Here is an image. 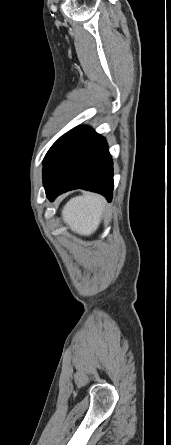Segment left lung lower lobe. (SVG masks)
<instances>
[{
  "mask_svg": "<svg viewBox=\"0 0 171 445\" xmlns=\"http://www.w3.org/2000/svg\"><path fill=\"white\" fill-rule=\"evenodd\" d=\"M112 165L105 139L90 128L76 127L61 137L44 160L46 195L52 201L61 193L82 188L111 201Z\"/></svg>",
  "mask_w": 171,
  "mask_h": 445,
  "instance_id": "1",
  "label": "left lung lower lobe"
}]
</instances>
